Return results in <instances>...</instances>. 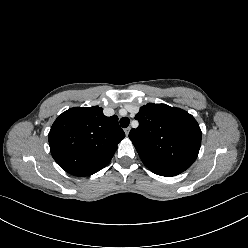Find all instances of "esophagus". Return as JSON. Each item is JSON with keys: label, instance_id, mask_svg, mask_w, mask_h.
<instances>
[{"label": "esophagus", "instance_id": "34e87169", "mask_svg": "<svg viewBox=\"0 0 248 248\" xmlns=\"http://www.w3.org/2000/svg\"><path fill=\"white\" fill-rule=\"evenodd\" d=\"M124 132H125L126 136H128L129 135V132H130V127L125 128L124 129Z\"/></svg>", "mask_w": 248, "mask_h": 248}]
</instances>
